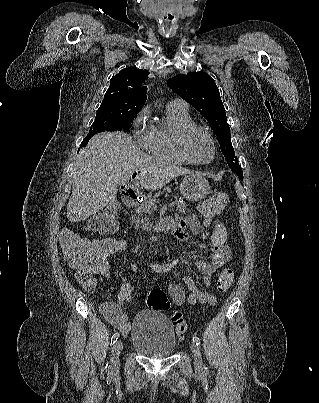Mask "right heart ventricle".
Wrapping results in <instances>:
<instances>
[{
    "label": "right heart ventricle",
    "mask_w": 319,
    "mask_h": 403,
    "mask_svg": "<svg viewBox=\"0 0 319 403\" xmlns=\"http://www.w3.org/2000/svg\"><path fill=\"white\" fill-rule=\"evenodd\" d=\"M193 124L188 109L168 105L165 122L154 126V141L150 152L163 161L191 164L179 151L178 136L183 128Z\"/></svg>",
    "instance_id": "1"
}]
</instances>
